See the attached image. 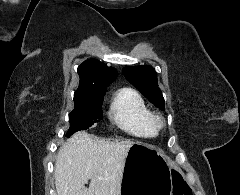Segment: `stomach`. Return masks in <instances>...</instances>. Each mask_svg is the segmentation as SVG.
Wrapping results in <instances>:
<instances>
[{
	"instance_id": "stomach-1",
	"label": "stomach",
	"mask_w": 240,
	"mask_h": 195,
	"mask_svg": "<svg viewBox=\"0 0 240 195\" xmlns=\"http://www.w3.org/2000/svg\"><path fill=\"white\" fill-rule=\"evenodd\" d=\"M170 171L164 151L135 141L127 151L119 195H171Z\"/></svg>"
}]
</instances>
